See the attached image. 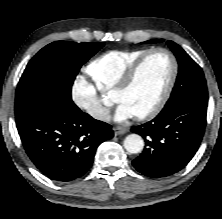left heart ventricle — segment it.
Listing matches in <instances>:
<instances>
[{"mask_svg": "<svg viewBox=\"0 0 222 219\" xmlns=\"http://www.w3.org/2000/svg\"><path fill=\"white\" fill-rule=\"evenodd\" d=\"M171 72V61L165 53L150 55L141 65L132 85L114 96L128 105L135 115L151 109L162 96Z\"/></svg>", "mask_w": 222, "mask_h": 219, "instance_id": "1", "label": "left heart ventricle"}]
</instances>
